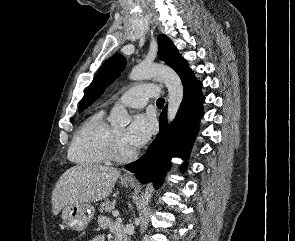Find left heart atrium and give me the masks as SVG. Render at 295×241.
Returning <instances> with one entry per match:
<instances>
[{
  "instance_id": "left-heart-atrium-1",
  "label": "left heart atrium",
  "mask_w": 295,
  "mask_h": 241,
  "mask_svg": "<svg viewBox=\"0 0 295 241\" xmlns=\"http://www.w3.org/2000/svg\"><path fill=\"white\" fill-rule=\"evenodd\" d=\"M154 130V120L145 114L136 115L124 134L126 144L133 150L148 142Z\"/></svg>"
}]
</instances>
